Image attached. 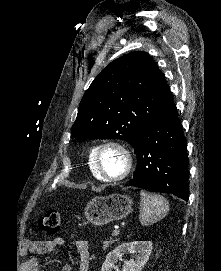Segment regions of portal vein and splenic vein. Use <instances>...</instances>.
I'll return each mask as SVG.
<instances>
[{"mask_svg": "<svg viewBox=\"0 0 221 271\" xmlns=\"http://www.w3.org/2000/svg\"><path fill=\"white\" fill-rule=\"evenodd\" d=\"M119 233V229H114V231H112V235H118Z\"/></svg>", "mask_w": 221, "mask_h": 271, "instance_id": "obj_1", "label": "portal vein and splenic vein"}]
</instances>
